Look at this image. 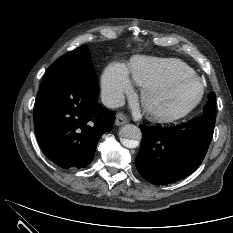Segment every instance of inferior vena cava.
<instances>
[{
    "mask_svg": "<svg viewBox=\"0 0 233 233\" xmlns=\"http://www.w3.org/2000/svg\"><path fill=\"white\" fill-rule=\"evenodd\" d=\"M102 103L108 108H118L125 104L122 93L103 92L101 94Z\"/></svg>",
    "mask_w": 233,
    "mask_h": 233,
    "instance_id": "obj_1",
    "label": "inferior vena cava"
}]
</instances>
